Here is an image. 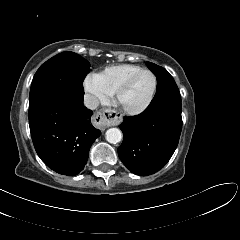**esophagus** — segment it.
<instances>
[{"instance_id":"34e87169","label":"esophagus","mask_w":240,"mask_h":240,"mask_svg":"<svg viewBox=\"0 0 240 240\" xmlns=\"http://www.w3.org/2000/svg\"><path fill=\"white\" fill-rule=\"evenodd\" d=\"M120 118L121 116H119L118 113H115L110 109H105L96 113L94 124L101 129H105L114 124Z\"/></svg>"}]
</instances>
